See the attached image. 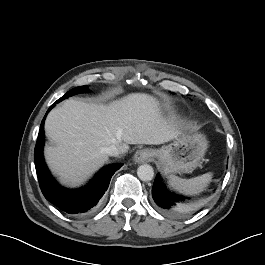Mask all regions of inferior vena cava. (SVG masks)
Segmentation results:
<instances>
[{
    "label": "inferior vena cava",
    "mask_w": 265,
    "mask_h": 265,
    "mask_svg": "<svg viewBox=\"0 0 265 265\" xmlns=\"http://www.w3.org/2000/svg\"><path fill=\"white\" fill-rule=\"evenodd\" d=\"M104 152L109 156H117L120 154V150L116 145H111L105 148Z\"/></svg>",
    "instance_id": "602c4592"
}]
</instances>
